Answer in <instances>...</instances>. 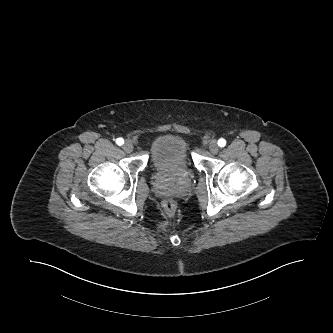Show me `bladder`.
Returning a JSON list of instances; mask_svg holds the SVG:
<instances>
[{
	"label": "bladder",
	"mask_w": 333,
	"mask_h": 333,
	"mask_svg": "<svg viewBox=\"0 0 333 333\" xmlns=\"http://www.w3.org/2000/svg\"><path fill=\"white\" fill-rule=\"evenodd\" d=\"M150 160L157 173L188 171L191 166L188 143L181 136L162 134L151 146Z\"/></svg>",
	"instance_id": "obj_1"
}]
</instances>
